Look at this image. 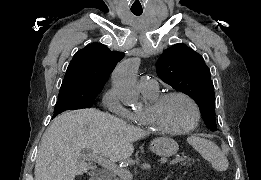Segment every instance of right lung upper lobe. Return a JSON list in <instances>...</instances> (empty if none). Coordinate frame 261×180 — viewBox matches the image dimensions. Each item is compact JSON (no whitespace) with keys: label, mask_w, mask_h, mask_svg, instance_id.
Listing matches in <instances>:
<instances>
[{"label":"right lung upper lobe","mask_w":261,"mask_h":180,"mask_svg":"<svg viewBox=\"0 0 261 180\" xmlns=\"http://www.w3.org/2000/svg\"><path fill=\"white\" fill-rule=\"evenodd\" d=\"M123 52L110 51L100 43H92L73 56L61 88L86 87L102 89Z\"/></svg>","instance_id":"1"}]
</instances>
